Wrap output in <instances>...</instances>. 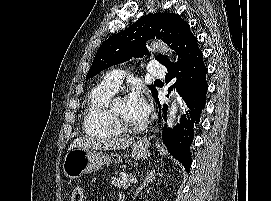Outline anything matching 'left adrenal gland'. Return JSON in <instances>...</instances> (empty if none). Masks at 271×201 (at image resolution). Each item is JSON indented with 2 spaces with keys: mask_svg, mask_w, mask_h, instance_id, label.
Masks as SVG:
<instances>
[{
  "mask_svg": "<svg viewBox=\"0 0 271 201\" xmlns=\"http://www.w3.org/2000/svg\"><path fill=\"white\" fill-rule=\"evenodd\" d=\"M155 170H152L147 174V176L144 178L142 184L136 189V192L134 194L133 200L137 197V195L141 192V190L145 187L148 186L154 179H155Z\"/></svg>",
  "mask_w": 271,
  "mask_h": 201,
  "instance_id": "obj_1",
  "label": "left adrenal gland"
}]
</instances>
